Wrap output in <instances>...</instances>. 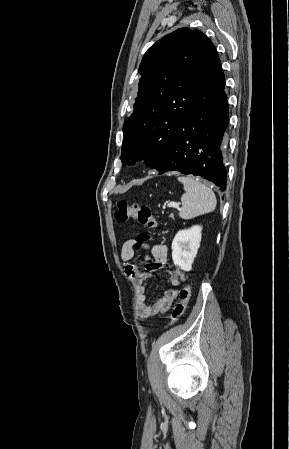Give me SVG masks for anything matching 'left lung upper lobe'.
Returning a JSON list of instances; mask_svg holds the SVG:
<instances>
[{
  "mask_svg": "<svg viewBox=\"0 0 289 449\" xmlns=\"http://www.w3.org/2000/svg\"><path fill=\"white\" fill-rule=\"evenodd\" d=\"M216 57L208 37L189 28L166 35L147 50L134 112L123 126V162L145 160L155 169L164 160L175 126L191 109Z\"/></svg>",
  "mask_w": 289,
  "mask_h": 449,
  "instance_id": "left-lung-upper-lobe-1",
  "label": "left lung upper lobe"
}]
</instances>
